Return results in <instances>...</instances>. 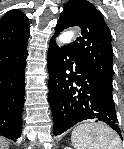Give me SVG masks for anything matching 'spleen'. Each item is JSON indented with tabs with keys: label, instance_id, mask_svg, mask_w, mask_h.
Masks as SVG:
<instances>
[{
	"label": "spleen",
	"instance_id": "1",
	"mask_svg": "<svg viewBox=\"0 0 124 149\" xmlns=\"http://www.w3.org/2000/svg\"><path fill=\"white\" fill-rule=\"evenodd\" d=\"M79 125L72 131L71 141L75 149H119L118 139L111 129L104 126Z\"/></svg>",
	"mask_w": 124,
	"mask_h": 149
}]
</instances>
